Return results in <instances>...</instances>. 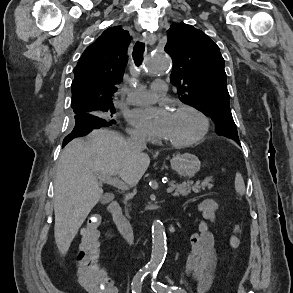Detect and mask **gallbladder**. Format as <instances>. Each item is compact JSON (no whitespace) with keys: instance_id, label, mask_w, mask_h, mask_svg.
I'll use <instances>...</instances> for the list:
<instances>
[{"instance_id":"gallbladder-1","label":"gallbladder","mask_w":293,"mask_h":293,"mask_svg":"<svg viewBox=\"0 0 293 293\" xmlns=\"http://www.w3.org/2000/svg\"><path fill=\"white\" fill-rule=\"evenodd\" d=\"M102 202H104V198H102Z\"/></svg>"}]
</instances>
